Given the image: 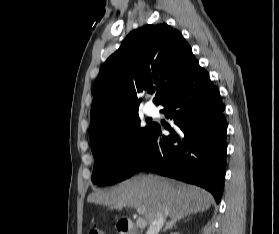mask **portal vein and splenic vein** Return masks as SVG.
I'll use <instances>...</instances> for the list:
<instances>
[{
    "mask_svg": "<svg viewBox=\"0 0 279 234\" xmlns=\"http://www.w3.org/2000/svg\"><path fill=\"white\" fill-rule=\"evenodd\" d=\"M137 209V212L140 213V214H143L144 213V210L141 208V207H136ZM137 226L140 227V228H143L147 225V222L145 219L143 218H139L136 222Z\"/></svg>",
    "mask_w": 279,
    "mask_h": 234,
    "instance_id": "1",
    "label": "portal vein and splenic vein"
}]
</instances>
